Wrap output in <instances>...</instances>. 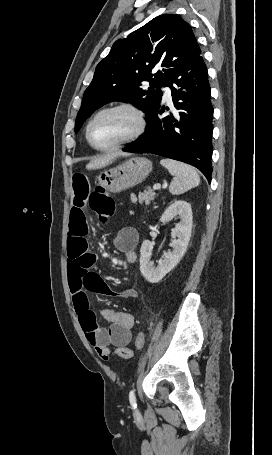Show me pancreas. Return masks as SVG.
<instances>
[{
  "label": "pancreas",
  "instance_id": "pancreas-1",
  "mask_svg": "<svg viewBox=\"0 0 272 455\" xmlns=\"http://www.w3.org/2000/svg\"><path fill=\"white\" fill-rule=\"evenodd\" d=\"M155 197H156V193L154 192V190L149 188L148 190H145L143 193H139L138 199L136 198L135 195H133L131 197V201L133 203H136L138 200L140 204L145 203V205H149Z\"/></svg>",
  "mask_w": 272,
  "mask_h": 455
}]
</instances>
